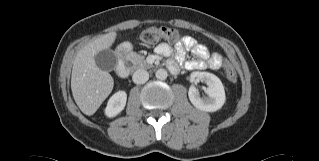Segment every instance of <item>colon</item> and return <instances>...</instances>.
I'll return each mask as SVG.
<instances>
[{"label":"colon","mask_w":319,"mask_h":161,"mask_svg":"<svg viewBox=\"0 0 319 161\" xmlns=\"http://www.w3.org/2000/svg\"><path fill=\"white\" fill-rule=\"evenodd\" d=\"M180 32L176 29L164 27V26H152L141 33V39L147 44H156L160 41H169L171 43H179L180 42ZM221 64L212 63L210 67L212 69H218ZM226 76L231 82L237 81V74L235 71L228 67L223 66Z\"/></svg>","instance_id":"5ec220e1"}]
</instances>
